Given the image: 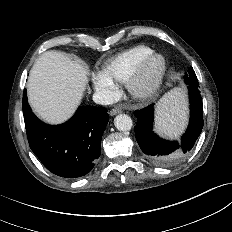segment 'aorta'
<instances>
[{"label": "aorta", "mask_w": 232, "mask_h": 232, "mask_svg": "<svg viewBox=\"0 0 232 232\" xmlns=\"http://www.w3.org/2000/svg\"><path fill=\"white\" fill-rule=\"evenodd\" d=\"M114 125L119 131H129L133 126V122L129 115L119 114L114 119Z\"/></svg>", "instance_id": "1"}]
</instances>
